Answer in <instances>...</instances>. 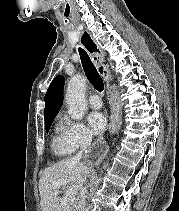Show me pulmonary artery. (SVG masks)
Segmentation results:
<instances>
[{
    "label": "pulmonary artery",
    "instance_id": "e3ab8cb5",
    "mask_svg": "<svg viewBox=\"0 0 179 211\" xmlns=\"http://www.w3.org/2000/svg\"><path fill=\"white\" fill-rule=\"evenodd\" d=\"M88 103L93 109H99L102 106L101 98L97 94H92L88 99Z\"/></svg>",
    "mask_w": 179,
    "mask_h": 211
}]
</instances>
